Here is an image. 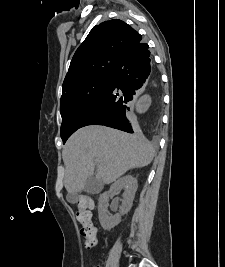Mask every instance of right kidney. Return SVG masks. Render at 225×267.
<instances>
[{"label": "right kidney", "mask_w": 225, "mask_h": 267, "mask_svg": "<svg viewBox=\"0 0 225 267\" xmlns=\"http://www.w3.org/2000/svg\"><path fill=\"white\" fill-rule=\"evenodd\" d=\"M121 189H124V194L120 212L115 215H109L107 211L109 197L114 196ZM136 190V178L131 175H126L115 181L110 186L109 191L100 195L98 203V215L100 224L105 230H111L113 227L118 225L121 221V216L130 211Z\"/></svg>", "instance_id": "obj_1"}]
</instances>
